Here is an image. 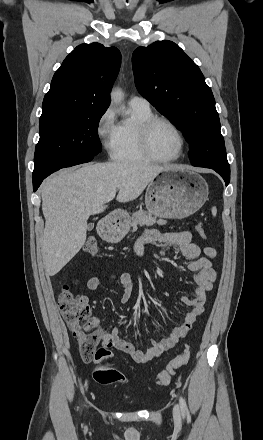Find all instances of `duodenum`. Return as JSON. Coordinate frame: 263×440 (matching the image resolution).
I'll return each mask as SVG.
<instances>
[{"mask_svg":"<svg viewBox=\"0 0 263 440\" xmlns=\"http://www.w3.org/2000/svg\"><path fill=\"white\" fill-rule=\"evenodd\" d=\"M112 220H113V221H115V220H116V218H112ZM102 228H104V226H102Z\"/></svg>","mask_w":263,"mask_h":440,"instance_id":"410a0bca","label":"duodenum"}]
</instances>
